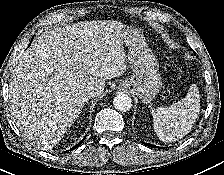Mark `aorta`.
Wrapping results in <instances>:
<instances>
[{
	"mask_svg": "<svg viewBox=\"0 0 224 175\" xmlns=\"http://www.w3.org/2000/svg\"><path fill=\"white\" fill-rule=\"evenodd\" d=\"M114 108L118 111H128L132 107V100L126 94H118L114 97L113 100Z\"/></svg>",
	"mask_w": 224,
	"mask_h": 175,
	"instance_id": "aorta-1",
	"label": "aorta"
}]
</instances>
